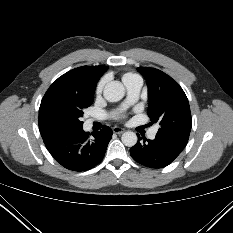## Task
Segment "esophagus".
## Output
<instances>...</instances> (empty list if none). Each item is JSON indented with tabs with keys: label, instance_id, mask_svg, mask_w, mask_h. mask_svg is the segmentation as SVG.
Listing matches in <instances>:
<instances>
[{
	"label": "esophagus",
	"instance_id": "esophagus-1",
	"mask_svg": "<svg viewBox=\"0 0 233 233\" xmlns=\"http://www.w3.org/2000/svg\"><path fill=\"white\" fill-rule=\"evenodd\" d=\"M113 132L116 133V134H121L125 131V129L121 128V127H118V126H115L113 127Z\"/></svg>",
	"mask_w": 233,
	"mask_h": 233
}]
</instances>
